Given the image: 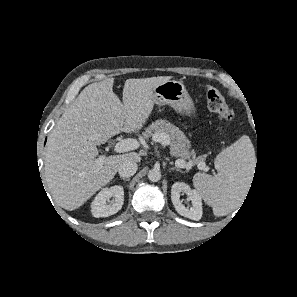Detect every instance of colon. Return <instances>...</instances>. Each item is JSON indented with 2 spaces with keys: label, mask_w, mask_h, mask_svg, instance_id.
<instances>
[{
  "label": "colon",
  "mask_w": 297,
  "mask_h": 297,
  "mask_svg": "<svg viewBox=\"0 0 297 297\" xmlns=\"http://www.w3.org/2000/svg\"><path fill=\"white\" fill-rule=\"evenodd\" d=\"M207 105L220 120H230L234 116L233 110L227 104L223 96L214 88L207 91Z\"/></svg>",
  "instance_id": "colon-1"
}]
</instances>
